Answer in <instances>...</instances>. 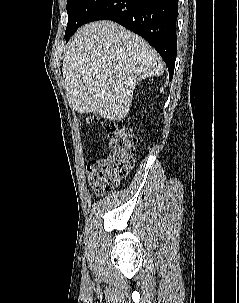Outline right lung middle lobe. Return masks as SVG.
Here are the masks:
<instances>
[{
  "instance_id": "1",
  "label": "right lung middle lobe",
  "mask_w": 239,
  "mask_h": 303,
  "mask_svg": "<svg viewBox=\"0 0 239 303\" xmlns=\"http://www.w3.org/2000/svg\"><path fill=\"white\" fill-rule=\"evenodd\" d=\"M105 0H67L68 24L65 39L75 33L77 28L84 24L86 18L97 9Z\"/></svg>"
}]
</instances>
